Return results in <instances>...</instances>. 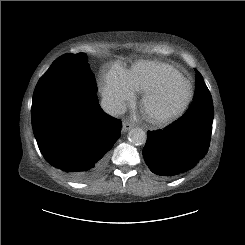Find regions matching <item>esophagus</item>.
I'll return each mask as SVG.
<instances>
[{
  "mask_svg": "<svg viewBox=\"0 0 245 245\" xmlns=\"http://www.w3.org/2000/svg\"><path fill=\"white\" fill-rule=\"evenodd\" d=\"M133 127V124L129 123L128 121H123L122 123V131L127 132Z\"/></svg>",
  "mask_w": 245,
  "mask_h": 245,
  "instance_id": "esophagus-1",
  "label": "esophagus"
}]
</instances>
